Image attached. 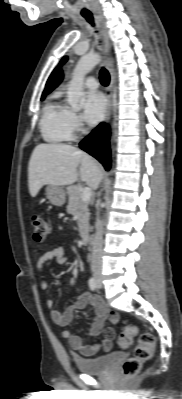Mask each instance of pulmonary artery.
<instances>
[{
    "label": "pulmonary artery",
    "mask_w": 182,
    "mask_h": 399,
    "mask_svg": "<svg viewBox=\"0 0 182 399\" xmlns=\"http://www.w3.org/2000/svg\"><path fill=\"white\" fill-rule=\"evenodd\" d=\"M85 87L91 90L98 88V81L94 77H87L84 81Z\"/></svg>",
    "instance_id": "e3ab8cb5"
}]
</instances>
